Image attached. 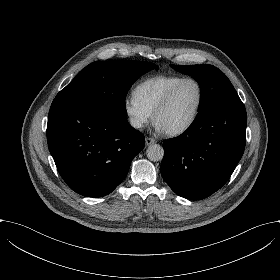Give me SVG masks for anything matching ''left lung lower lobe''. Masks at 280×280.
Here are the masks:
<instances>
[{"mask_svg":"<svg viewBox=\"0 0 280 280\" xmlns=\"http://www.w3.org/2000/svg\"><path fill=\"white\" fill-rule=\"evenodd\" d=\"M246 125L240 99L197 115L182 135L164 141L163 180L181 197H209L227 182L241 159Z\"/></svg>","mask_w":280,"mask_h":280,"instance_id":"0a47b994","label":"left lung lower lobe"}]
</instances>
